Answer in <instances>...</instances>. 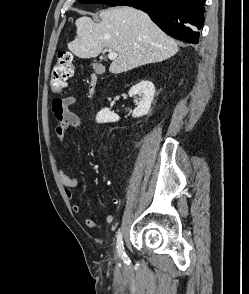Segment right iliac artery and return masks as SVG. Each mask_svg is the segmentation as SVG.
I'll return each instance as SVG.
<instances>
[{
    "label": "right iliac artery",
    "instance_id": "1",
    "mask_svg": "<svg viewBox=\"0 0 249 294\" xmlns=\"http://www.w3.org/2000/svg\"><path fill=\"white\" fill-rule=\"evenodd\" d=\"M117 252L121 259H123L125 262L128 260L127 255L124 251L122 233L120 230H118L117 232Z\"/></svg>",
    "mask_w": 249,
    "mask_h": 294
}]
</instances>
